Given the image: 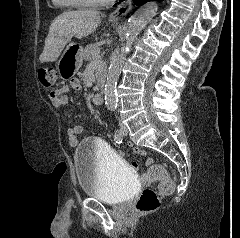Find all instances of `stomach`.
I'll list each match as a JSON object with an SVG mask.
<instances>
[{
	"label": "stomach",
	"mask_w": 240,
	"mask_h": 238,
	"mask_svg": "<svg viewBox=\"0 0 240 238\" xmlns=\"http://www.w3.org/2000/svg\"><path fill=\"white\" fill-rule=\"evenodd\" d=\"M83 62V49L74 42L67 45L57 61V72L61 79L71 78L81 67Z\"/></svg>",
	"instance_id": "stomach-1"
}]
</instances>
